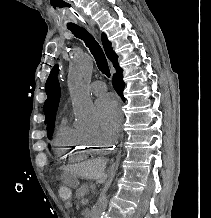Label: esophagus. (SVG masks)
I'll list each match as a JSON object with an SVG mask.
<instances>
[{"instance_id":"obj_1","label":"esophagus","mask_w":211,"mask_h":218,"mask_svg":"<svg viewBox=\"0 0 211 218\" xmlns=\"http://www.w3.org/2000/svg\"><path fill=\"white\" fill-rule=\"evenodd\" d=\"M86 28L91 31L92 33H94V25L91 23H88L87 25H85ZM123 118V117H122Z\"/></svg>"}]
</instances>
